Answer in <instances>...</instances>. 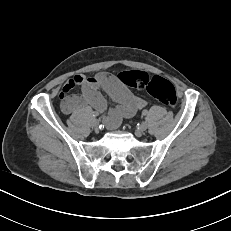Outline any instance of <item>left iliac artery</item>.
I'll use <instances>...</instances> for the list:
<instances>
[{"label": "left iliac artery", "mask_w": 231, "mask_h": 231, "mask_svg": "<svg viewBox=\"0 0 231 231\" xmlns=\"http://www.w3.org/2000/svg\"><path fill=\"white\" fill-rule=\"evenodd\" d=\"M142 114L145 116L148 114V111L147 110H143Z\"/></svg>", "instance_id": "1"}]
</instances>
